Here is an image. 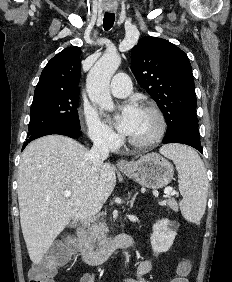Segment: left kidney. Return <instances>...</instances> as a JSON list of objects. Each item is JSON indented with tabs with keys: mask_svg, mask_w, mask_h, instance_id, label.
I'll return each mask as SVG.
<instances>
[{
	"mask_svg": "<svg viewBox=\"0 0 232 282\" xmlns=\"http://www.w3.org/2000/svg\"><path fill=\"white\" fill-rule=\"evenodd\" d=\"M177 228L176 223L168 219L159 220L153 225L150 241L156 256L170 249L177 235Z\"/></svg>",
	"mask_w": 232,
	"mask_h": 282,
	"instance_id": "1",
	"label": "left kidney"
}]
</instances>
